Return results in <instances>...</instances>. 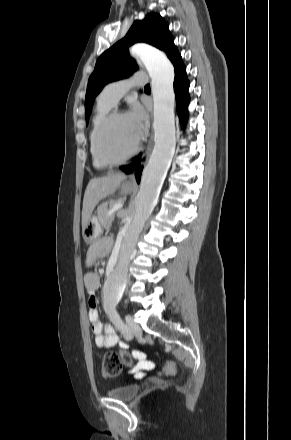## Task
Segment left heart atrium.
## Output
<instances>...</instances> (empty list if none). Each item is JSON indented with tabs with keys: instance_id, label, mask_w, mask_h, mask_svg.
<instances>
[{
	"instance_id": "39dd6f15",
	"label": "left heart atrium",
	"mask_w": 291,
	"mask_h": 440,
	"mask_svg": "<svg viewBox=\"0 0 291 440\" xmlns=\"http://www.w3.org/2000/svg\"><path fill=\"white\" fill-rule=\"evenodd\" d=\"M125 116L136 136L138 138L141 137L147 124V117L142 108L138 105H134Z\"/></svg>"
}]
</instances>
